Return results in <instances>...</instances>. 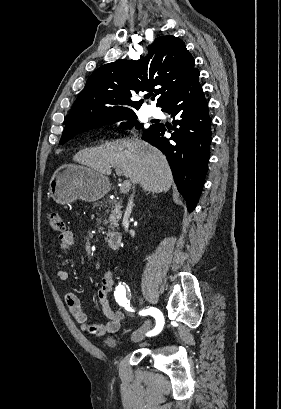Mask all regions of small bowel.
I'll use <instances>...</instances> for the list:
<instances>
[{
	"instance_id": "1",
	"label": "small bowel",
	"mask_w": 281,
	"mask_h": 409,
	"mask_svg": "<svg viewBox=\"0 0 281 409\" xmlns=\"http://www.w3.org/2000/svg\"><path fill=\"white\" fill-rule=\"evenodd\" d=\"M74 235L67 230L60 234L58 244L54 249V255H60L73 243ZM69 273L65 270L57 271V278L60 282H67L69 280ZM116 288V281L112 270L105 271L101 286L97 291L98 299L103 307L105 316L109 319L105 324L89 323L87 316L83 312L79 298L74 293H67L65 295V302L70 314L75 321L80 325V330L90 335L101 337L105 334H113L118 332L122 324V317H118L117 311L114 310L109 302V295L113 294Z\"/></svg>"
}]
</instances>
